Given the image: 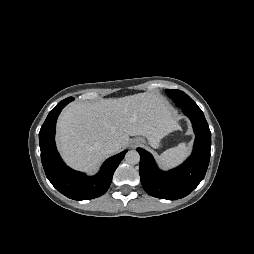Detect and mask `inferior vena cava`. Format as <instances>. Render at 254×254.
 Segmentation results:
<instances>
[{
    "label": "inferior vena cava",
    "instance_id": "inferior-vena-cava-1",
    "mask_svg": "<svg viewBox=\"0 0 254 254\" xmlns=\"http://www.w3.org/2000/svg\"><path fill=\"white\" fill-rule=\"evenodd\" d=\"M119 149H120V145L117 142H111V143L106 145L105 152L108 155H111V154H114V153L118 152Z\"/></svg>",
    "mask_w": 254,
    "mask_h": 254
}]
</instances>
